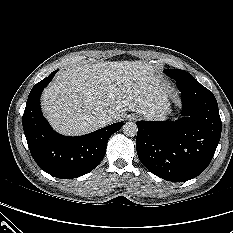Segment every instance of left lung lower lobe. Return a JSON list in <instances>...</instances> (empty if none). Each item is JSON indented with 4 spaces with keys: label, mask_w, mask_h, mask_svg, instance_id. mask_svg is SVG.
<instances>
[{
    "label": "left lung lower lobe",
    "mask_w": 233,
    "mask_h": 233,
    "mask_svg": "<svg viewBox=\"0 0 233 233\" xmlns=\"http://www.w3.org/2000/svg\"><path fill=\"white\" fill-rule=\"evenodd\" d=\"M183 118L138 121L137 154L156 176L174 182L200 175L211 162L221 137L217 101L196 79L176 82Z\"/></svg>",
    "instance_id": "obj_1"
}]
</instances>
